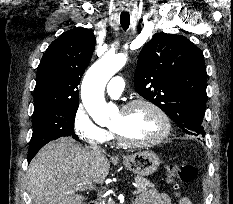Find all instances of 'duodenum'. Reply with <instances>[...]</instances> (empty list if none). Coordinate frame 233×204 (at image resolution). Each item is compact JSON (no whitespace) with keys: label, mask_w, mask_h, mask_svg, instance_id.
<instances>
[{"label":"duodenum","mask_w":233,"mask_h":204,"mask_svg":"<svg viewBox=\"0 0 233 204\" xmlns=\"http://www.w3.org/2000/svg\"><path fill=\"white\" fill-rule=\"evenodd\" d=\"M88 204H98L96 201L89 202Z\"/></svg>","instance_id":"obj_1"}]
</instances>
